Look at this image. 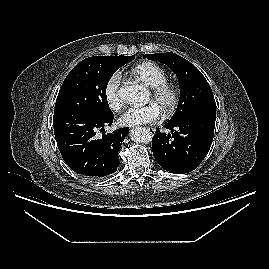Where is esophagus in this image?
Wrapping results in <instances>:
<instances>
[{
	"label": "esophagus",
	"mask_w": 269,
	"mask_h": 269,
	"mask_svg": "<svg viewBox=\"0 0 269 269\" xmlns=\"http://www.w3.org/2000/svg\"><path fill=\"white\" fill-rule=\"evenodd\" d=\"M147 130H148L151 134L155 133V129L152 128V127H148Z\"/></svg>",
	"instance_id": "1"
}]
</instances>
